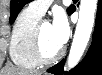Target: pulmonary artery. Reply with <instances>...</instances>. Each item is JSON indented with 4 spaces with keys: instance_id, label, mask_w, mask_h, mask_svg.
<instances>
[{
    "instance_id": "obj_1",
    "label": "pulmonary artery",
    "mask_w": 102,
    "mask_h": 75,
    "mask_svg": "<svg viewBox=\"0 0 102 75\" xmlns=\"http://www.w3.org/2000/svg\"><path fill=\"white\" fill-rule=\"evenodd\" d=\"M52 0H40V1H32L29 4V8L37 13L38 15L42 16L47 11L48 7L52 4Z\"/></svg>"
}]
</instances>
